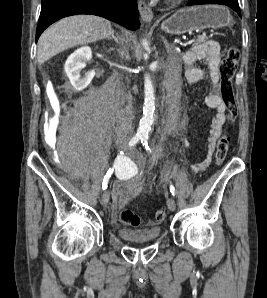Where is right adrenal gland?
<instances>
[{
  "label": "right adrenal gland",
  "instance_id": "2a0ac1e0",
  "mask_svg": "<svg viewBox=\"0 0 267 298\" xmlns=\"http://www.w3.org/2000/svg\"><path fill=\"white\" fill-rule=\"evenodd\" d=\"M107 39H114L117 43H119L118 39L114 35V32L111 34V36L107 37Z\"/></svg>",
  "mask_w": 267,
  "mask_h": 298
}]
</instances>
